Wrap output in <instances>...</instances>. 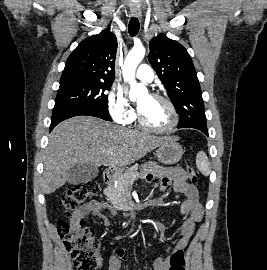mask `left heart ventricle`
Here are the masks:
<instances>
[{"label":"left heart ventricle","mask_w":267,"mask_h":270,"mask_svg":"<svg viewBox=\"0 0 267 270\" xmlns=\"http://www.w3.org/2000/svg\"><path fill=\"white\" fill-rule=\"evenodd\" d=\"M139 107L143 121L151 127L164 128L171 121V115L167 106L151 96H143L139 100Z\"/></svg>","instance_id":"b2bd125f"}]
</instances>
